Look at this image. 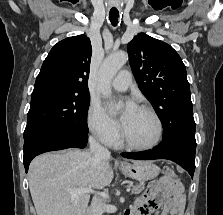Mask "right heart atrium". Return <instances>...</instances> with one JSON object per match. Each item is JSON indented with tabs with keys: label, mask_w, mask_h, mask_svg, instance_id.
<instances>
[{
	"label": "right heart atrium",
	"mask_w": 223,
	"mask_h": 215,
	"mask_svg": "<svg viewBox=\"0 0 223 215\" xmlns=\"http://www.w3.org/2000/svg\"><path fill=\"white\" fill-rule=\"evenodd\" d=\"M87 127L98 140L108 143L115 140L119 134L117 124L106 114L102 106L92 102L87 112Z\"/></svg>",
	"instance_id": "obj_1"
}]
</instances>
